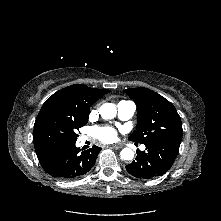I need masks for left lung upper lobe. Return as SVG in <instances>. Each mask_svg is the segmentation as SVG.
I'll return each instance as SVG.
<instances>
[{"label": "left lung upper lobe", "mask_w": 221, "mask_h": 221, "mask_svg": "<svg viewBox=\"0 0 221 221\" xmlns=\"http://www.w3.org/2000/svg\"><path fill=\"white\" fill-rule=\"evenodd\" d=\"M125 92L137 106V129L129 136L130 141L142 144L155 141L180 144L182 123L173 104L147 88H131Z\"/></svg>", "instance_id": "left-lung-upper-lobe-1"}]
</instances>
